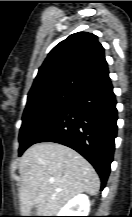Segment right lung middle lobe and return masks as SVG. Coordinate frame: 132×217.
I'll use <instances>...</instances> for the list:
<instances>
[{
  "label": "right lung middle lobe",
  "mask_w": 132,
  "mask_h": 217,
  "mask_svg": "<svg viewBox=\"0 0 132 217\" xmlns=\"http://www.w3.org/2000/svg\"><path fill=\"white\" fill-rule=\"evenodd\" d=\"M76 97V94L66 91L28 97L19 134V156L35 143Z\"/></svg>",
  "instance_id": "right-lung-middle-lobe-1"
}]
</instances>
